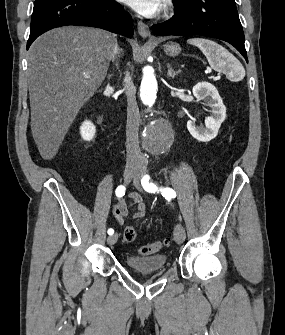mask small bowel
I'll list each match as a JSON object with an SVG mask.
<instances>
[{
    "mask_svg": "<svg viewBox=\"0 0 285 335\" xmlns=\"http://www.w3.org/2000/svg\"><path fill=\"white\" fill-rule=\"evenodd\" d=\"M129 198L130 202L119 199L112 206V213L118 224H122L128 217L143 219L146 216L147 207L141 196L133 192L129 195Z\"/></svg>",
    "mask_w": 285,
    "mask_h": 335,
    "instance_id": "c3829d8e",
    "label": "small bowel"
}]
</instances>
